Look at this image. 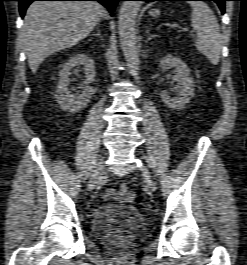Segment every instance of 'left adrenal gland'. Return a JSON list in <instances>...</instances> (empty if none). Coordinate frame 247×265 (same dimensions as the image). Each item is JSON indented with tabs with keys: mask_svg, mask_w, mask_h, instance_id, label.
<instances>
[{
	"mask_svg": "<svg viewBox=\"0 0 247 265\" xmlns=\"http://www.w3.org/2000/svg\"><path fill=\"white\" fill-rule=\"evenodd\" d=\"M146 33H147V41L146 42H149L152 38L155 37V35L150 34V29H147Z\"/></svg>",
	"mask_w": 247,
	"mask_h": 265,
	"instance_id": "left-adrenal-gland-1",
	"label": "left adrenal gland"
}]
</instances>
